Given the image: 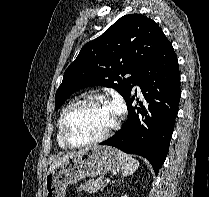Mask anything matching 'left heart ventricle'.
Returning <instances> with one entry per match:
<instances>
[{"instance_id": "b2bd125f", "label": "left heart ventricle", "mask_w": 209, "mask_h": 197, "mask_svg": "<svg viewBox=\"0 0 209 197\" xmlns=\"http://www.w3.org/2000/svg\"><path fill=\"white\" fill-rule=\"evenodd\" d=\"M116 115L107 102L86 105L72 117L68 132L73 141L81 142L103 134L115 121Z\"/></svg>"}]
</instances>
